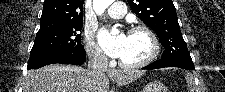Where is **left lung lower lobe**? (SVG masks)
<instances>
[{"label":"left lung lower lobe","instance_id":"obj_1","mask_svg":"<svg viewBox=\"0 0 225 92\" xmlns=\"http://www.w3.org/2000/svg\"><path fill=\"white\" fill-rule=\"evenodd\" d=\"M165 67H179L186 70H193L194 64L191 60L180 59V60H157L143 69H158Z\"/></svg>","mask_w":225,"mask_h":92}]
</instances>
